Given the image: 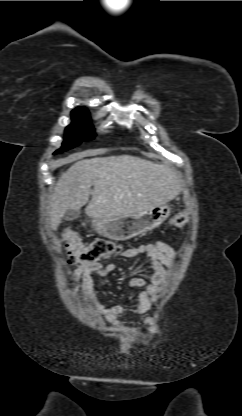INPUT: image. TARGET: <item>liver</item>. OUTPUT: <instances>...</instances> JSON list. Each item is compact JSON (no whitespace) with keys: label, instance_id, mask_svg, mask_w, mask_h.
<instances>
[{"label":"liver","instance_id":"obj_1","mask_svg":"<svg viewBox=\"0 0 242 416\" xmlns=\"http://www.w3.org/2000/svg\"><path fill=\"white\" fill-rule=\"evenodd\" d=\"M94 187L89 201L90 188ZM183 186L174 168L131 155L95 157L74 163L58 179L50 228L57 230L68 209L85 208L91 218L142 213L173 200Z\"/></svg>","mask_w":242,"mask_h":416}]
</instances>
